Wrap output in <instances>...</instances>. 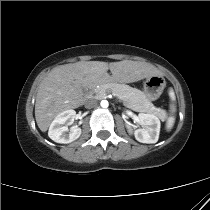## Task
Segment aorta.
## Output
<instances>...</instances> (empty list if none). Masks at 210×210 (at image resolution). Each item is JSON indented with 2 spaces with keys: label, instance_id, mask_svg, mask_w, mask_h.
<instances>
[{
  "label": "aorta",
  "instance_id": "1",
  "mask_svg": "<svg viewBox=\"0 0 210 210\" xmlns=\"http://www.w3.org/2000/svg\"><path fill=\"white\" fill-rule=\"evenodd\" d=\"M108 101L107 100H102L101 101V107H103V108H107L108 107Z\"/></svg>",
  "mask_w": 210,
  "mask_h": 210
}]
</instances>
